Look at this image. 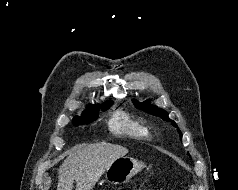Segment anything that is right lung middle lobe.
Returning a JSON list of instances; mask_svg holds the SVG:
<instances>
[{"label": "right lung middle lobe", "mask_w": 238, "mask_h": 190, "mask_svg": "<svg viewBox=\"0 0 238 190\" xmlns=\"http://www.w3.org/2000/svg\"><path fill=\"white\" fill-rule=\"evenodd\" d=\"M113 104L112 101H108L105 104H103L101 106V108L103 109V111H105L106 109H108L111 105ZM88 110H85L82 114V116H76L73 119V124L74 125H80V124H84V123H90L92 122L95 118L98 117V114L96 113L99 109V106L97 105H90L88 108Z\"/></svg>", "instance_id": "1"}]
</instances>
